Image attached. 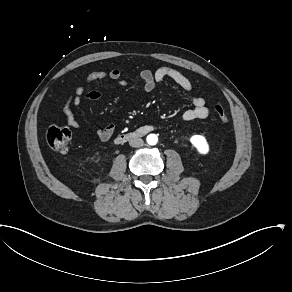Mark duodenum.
<instances>
[{
  "label": "duodenum",
  "instance_id": "410a0bca",
  "mask_svg": "<svg viewBox=\"0 0 292 292\" xmlns=\"http://www.w3.org/2000/svg\"><path fill=\"white\" fill-rule=\"evenodd\" d=\"M154 129H156V127H154V126H147L143 130H141V131H132V132L121 133L120 135H118L116 137V140L118 142H122V141L127 140V139H130V138L138 137L142 133L149 132V131H152Z\"/></svg>",
  "mask_w": 292,
  "mask_h": 292
}]
</instances>
